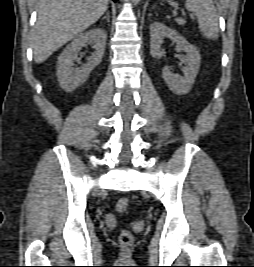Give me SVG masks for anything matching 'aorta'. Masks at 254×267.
Instances as JSON below:
<instances>
[{"mask_svg":"<svg viewBox=\"0 0 254 267\" xmlns=\"http://www.w3.org/2000/svg\"><path fill=\"white\" fill-rule=\"evenodd\" d=\"M132 2L134 5H137L140 2V0H132Z\"/></svg>","mask_w":254,"mask_h":267,"instance_id":"obj_1","label":"aorta"}]
</instances>
